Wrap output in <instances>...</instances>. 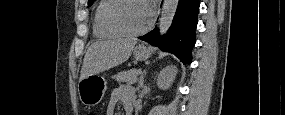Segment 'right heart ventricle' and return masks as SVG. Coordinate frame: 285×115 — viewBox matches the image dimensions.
<instances>
[{"mask_svg":"<svg viewBox=\"0 0 285 115\" xmlns=\"http://www.w3.org/2000/svg\"><path fill=\"white\" fill-rule=\"evenodd\" d=\"M113 0H101L97 3L96 8L93 14L92 21V31L93 35L96 38L100 39H116L122 36L119 32L114 29L106 26L103 22V12L104 9L112 2Z\"/></svg>","mask_w":285,"mask_h":115,"instance_id":"e07e8e85","label":"right heart ventricle"}]
</instances>
